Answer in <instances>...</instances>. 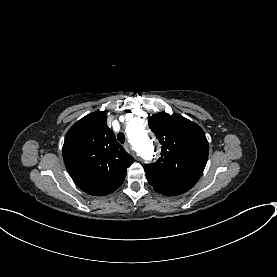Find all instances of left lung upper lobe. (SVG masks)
<instances>
[{
	"instance_id": "1",
	"label": "left lung upper lobe",
	"mask_w": 277,
	"mask_h": 277,
	"mask_svg": "<svg viewBox=\"0 0 277 277\" xmlns=\"http://www.w3.org/2000/svg\"><path fill=\"white\" fill-rule=\"evenodd\" d=\"M148 123L162 145L160 159L144 166L148 183L166 196L187 192L206 166L209 145L204 131L179 114L163 112Z\"/></svg>"
}]
</instances>
